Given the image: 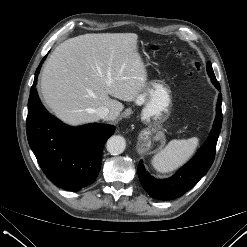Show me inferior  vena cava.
<instances>
[{"label":"inferior vena cava","mask_w":247,"mask_h":247,"mask_svg":"<svg viewBox=\"0 0 247 247\" xmlns=\"http://www.w3.org/2000/svg\"><path fill=\"white\" fill-rule=\"evenodd\" d=\"M109 109L106 106H100L95 110V114L100 118L103 119L109 115Z\"/></svg>","instance_id":"inferior-vena-cava-1"}]
</instances>
